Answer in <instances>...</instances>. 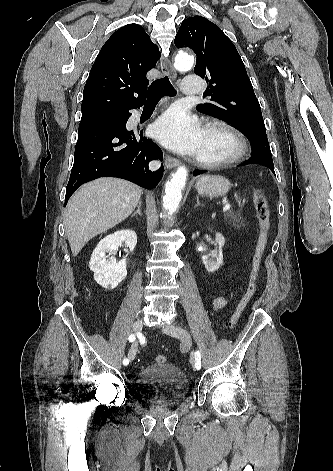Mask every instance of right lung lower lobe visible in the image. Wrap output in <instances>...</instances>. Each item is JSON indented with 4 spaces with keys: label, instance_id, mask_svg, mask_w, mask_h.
Wrapping results in <instances>:
<instances>
[{
    "label": "right lung lower lobe",
    "instance_id": "right-lung-lower-lobe-1",
    "mask_svg": "<svg viewBox=\"0 0 333 471\" xmlns=\"http://www.w3.org/2000/svg\"><path fill=\"white\" fill-rule=\"evenodd\" d=\"M130 109L80 122L65 204L79 186L99 177L123 178L147 189L161 180L163 166L152 172L148 164L162 161V151L142 130L126 129Z\"/></svg>",
    "mask_w": 333,
    "mask_h": 471
}]
</instances>
